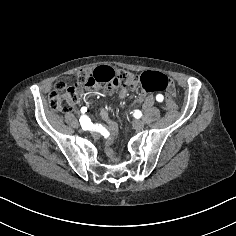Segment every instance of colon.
<instances>
[{"mask_svg":"<svg viewBox=\"0 0 236 236\" xmlns=\"http://www.w3.org/2000/svg\"><path fill=\"white\" fill-rule=\"evenodd\" d=\"M141 82L143 93L136 98V102H141L142 96L152 92L167 91L165 110L174 111L176 104L173 100L175 93L174 84L166 75L146 71L137 77L135 74L115 69L109 66H99L96 68L84 67L79 70L77 83L68 85L60 82L55 85L49 94V106L52 111L65 113L71 111L79 99L93 90H111L117 86H131L137 81Z\"/></svg>","mask_w":236,"mask_h":236,"instance_id":"1","label":"colon"}]
</instances>
